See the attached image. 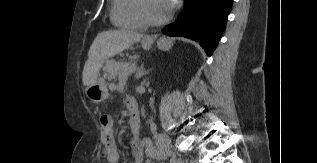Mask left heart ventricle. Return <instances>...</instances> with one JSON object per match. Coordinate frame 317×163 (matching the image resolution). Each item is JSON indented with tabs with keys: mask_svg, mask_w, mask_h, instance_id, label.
<instances>
[{
	"mask_svg": "<svg viewBox=\"0 0 317 163\" xmlns=\"http://www.w3.org/2000/svg\"><path fill=\"white\" fill-rule=\"evenodd\" d=\"M150 15L155 19H162L169 14L163 0H145Z\"/></svg>",
	"mask_w": 317,
	"mask_h": 163,
	"instance_id": "obj_1",
	"label": "left heart ventricle"
}]
</instances>
